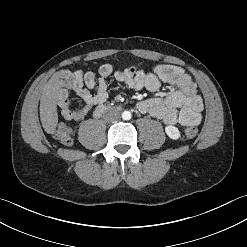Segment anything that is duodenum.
Here are the masks:
<instances>
[{"label": "duodenum", "instance_id": "obj_1", "mask_svg": "<svg viewBox=\"0 0 247 247\" xmlns=\"http://www.w3.org/2000/svg\"><path fill=\"white\" fill-rule=\"evenodd\" d=\"M106 110H107L106 106L104 105L99 106L94 113L95 117L101 116Z\"/></svg>", "mask_w": 247, "mask_h": 247}]
</instances>
